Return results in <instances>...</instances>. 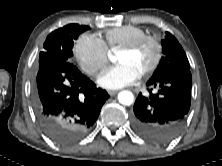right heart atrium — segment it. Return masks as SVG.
Returning a JSON list of instances; mask_svg holds the SVG:
<instances>
[{"label": "right heart atrium", "mask_w": 222, "mask_h": 166, "mask_svg": "<svg viewBox=\"0 0 222 166\" xmlns=\"http://www.w3.org/2000/svg\"><path fill=\"white\" fill-rule=\"evenodd\" d=\"M73 54L81 70L92 77L97 76L108 62V49L95 34H81L75 42Z\"/></svg>", "instance_id": "obj_1"}]
</instances>
